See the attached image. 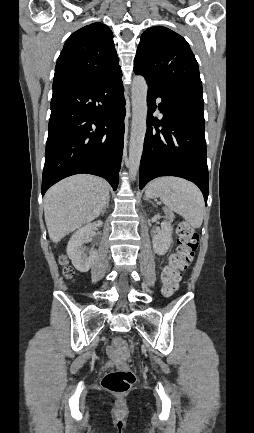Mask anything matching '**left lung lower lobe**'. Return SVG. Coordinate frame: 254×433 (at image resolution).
<instances>
[{
  "mask_svg": "<svg viewBox=\"0 0 254 433\" xmlns=\"http://www.w3.org/2000/svg\"><path fill=\"white\" fill-rule=\"evenodd\" d=\"M135 74L142 75L134 69ZM147 131L140 163L139 186L160 176H177L195 183L205 202L209 194V178L205 141L204 102L191 96L162 90L148 81ZM163 118L152 114L157 108Z\"/></svg>",
  "mask_w": 254,
  "mask_h": 433,
  "instance_id": "left-lung-lower-lobe-1",
  "label": "left lung lower lobe"
}]
</instances>
